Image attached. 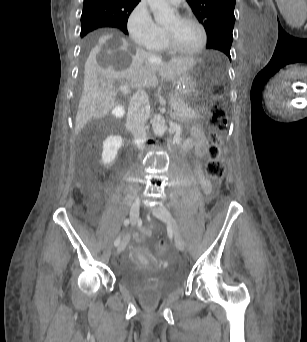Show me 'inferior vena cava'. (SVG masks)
I'll list each match as a JSON object with an SVG mask.
<instances>
[{
  "label": "inferior vena cava",
  "instance_id": "1",
  "mask_svg": "<svg viewBox=\"0 0 307 342\" xmlns=\"http://www.w3.org/2000/svg\"><path fill=\"white\" fill-rule=\"evenodd\" d=\"M148 96L145 90H137L133 94L128 106L126 128L134 136V142L138 150H144L146 142L145 122L147 120L146 106H148Z\"/></svg>",
  "mask_w": 307,
  "mask_h": 342
}]
</instances>
